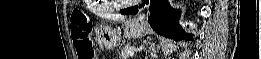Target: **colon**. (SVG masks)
<instances>
[{
    "instance_id": "obj_1",
    "label": "colon",
    "mask_w": 261,
    "mask_h": 59,
    "mask_svg": "<svg viewBox=\"0 0 261 59\" xmlns=\"http://www.w3.org/2000/svg\"><path fill=\"white\" fill-rule=\"evenodd\" d=\"M73 45L79 59H95V51L90 38L91 26L78 13H74L70 21Z\"/></svg>"
}]
</instances>
